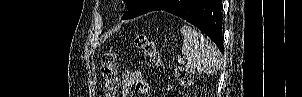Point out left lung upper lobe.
Listing matches in <instances>:
<instances>
[{
	"label": "left lung upper lobe",
	"mask_w": 302,
	"mask_h": 97,
	"mask_svg": "<svg viewBox=\"0 0 302 97\" xmlns=\"http://www.w3.org/2000/svg\"><path fill=\"white\" fill-rule=\"evenodd\" d=\"M124 1L128 4L130 8L128 12L122 17V19H127L133 16L135 13L149 7V2H146V0H124Z\"/></svg>",
	"instance_id": "left-lung-upper-lobe-1"
}]
</instances>
